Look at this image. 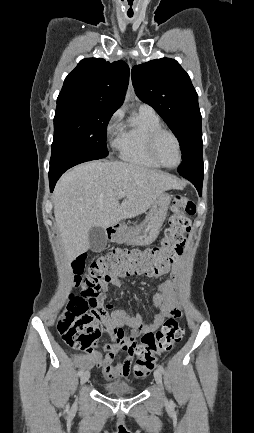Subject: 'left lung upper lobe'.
I'll return each instance as SVG.
<instances>
[{"mask_svg": "<svg viewBox=\"0 0 254 433\" xmlns=\"http://www.w3.org/2000/svg\"><path fill=\"white\" fill-rule=\"evenodd\" d=\"M131 77L136 95L156 110L180 143L178 173L204 174L202 117L189 75L176 60L160 58L134 66Z\"/></svg>", "mask_w": 254, "mask_h": 433, "instance_id": "obj_1", "label": "left lung upper lobe"}]
</instances>
